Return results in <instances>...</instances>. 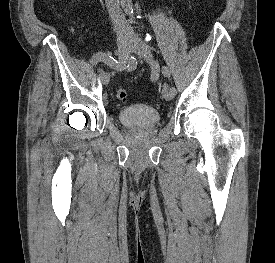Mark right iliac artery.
<instances>
[{"instance_id":"1","label":"right iliac artery","mask_w":275,"mask_h":263,"mask_svg":"<svg viewBox=\"0 0 275 263\" xmlns=\"http://www.w3.org/2000/svg\"><path fill=\"white\" fill-rule=\"evenodd\" d=\"M100 61L117 70H123L126 68V65L119 64L111 53H97L90 60L92 65H96Z\"/></svg>"}]
</instances>
